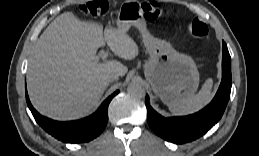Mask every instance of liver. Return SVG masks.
Instances as JSON below:
<instances>
[{
    "label": "liver",
    "mask_w": 259,
    "mask_h": 156,
    "mask_svg": "<svg viewBox=\"0 0 259 156\" xmlns=\"http://www.w3.org/2000/svg\"><path fill=\"white\" fill-rule=\"evenodd\" d=\"M127 30L83 21L65 12L41 34L27 70V88L33 106L41 114L68 121L89 114L98 105L107 85V75L128 71L122 63L98 62L96 52L105 44L118 57L134 59L139 54Z\"/></svg>",
    "instance_id": "6515ba94"
}]
</instances>
